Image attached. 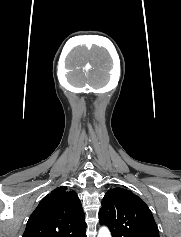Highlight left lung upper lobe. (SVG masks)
<instances>
[{"mask_svg": "<svg viewBox=\"0 0 181 237\" xmlns=\"http://www.w3.org/2000/svg\"><path fill=\"white\" fill-rule=\"evenodd\" d=\"M99 222L108 226L113 237H159L148 206L124 188L106 192L99 211Z\"/></svg>", "mask_w": 181, "mask_h": 237, "instance_id": "obj_1", "label": "left lung upper lobe"}]
</instances>
